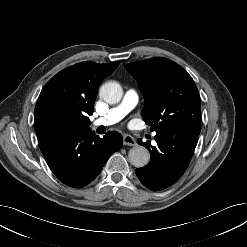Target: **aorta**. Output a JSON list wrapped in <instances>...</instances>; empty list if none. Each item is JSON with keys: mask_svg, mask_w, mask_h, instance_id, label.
I'll list each match as a JSON object with an SVG mask.
<instances>
[{"mask_svg": "<svg viewBox=\"0 0 247 247\" xmlns=\"http://www.w3.org/2000/svg\"><path fill=\"white\" fill-rule=\"evenodd\" d=\"M99 95L106 103L116 104L120 102L123 90L117 82H106L101 86ZM128 159L133 166L141 168L149 163L150 153L145 147L137 145L130 149Z\"/></svg>", "mask_w": 247, "mask_h": 247, "instance_id": "aorta-1", "label": "aorta"}]
</instances>
